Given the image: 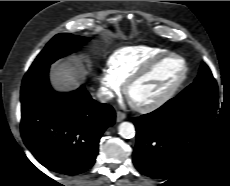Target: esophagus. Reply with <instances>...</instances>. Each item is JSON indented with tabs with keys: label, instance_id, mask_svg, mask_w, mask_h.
Masks as SVG:
<instances>
[{
	"label": "esophagus",
	"instance_id": "obj_1",
	"mask_svg": "<svg viewBox=\"0 0 230 186\" xmlns=\"http://www.w3.org/2000/svg\"><path fill=\"white\" fill-rule=\"evenodd\" d=\"M126 118L125 113L121 112V111H117L116 113V120L117 122H121Z\"/></svg>",
	"mask_w": 230,
	"mask_h": 186
}]
</instances>
